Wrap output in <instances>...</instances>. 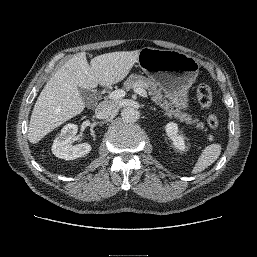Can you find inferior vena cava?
<instances>
[{
	"label": "inferior vena cava",
	"instance_id": "1",
	"mask_svg": "<svg viewBox=\"0 0 257 257\" xmlns=\"http://www.w3.org/2000/svg\"><path fill=\"white\" fill-rule=\"evenodd\" d=\"M118 110V105L112 102L104 101L101 102L96 110V117L99 119H106L113 115Z\"/></svg>",
	"mask_w": 257,
	"mask_h": 257
}]
</instances>
